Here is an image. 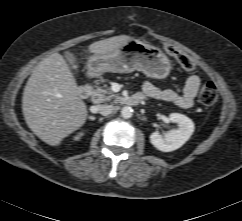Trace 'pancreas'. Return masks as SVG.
<instances>
[{
	"mask_svg": "<svg viewBox=\"0 0 242 221\" xmlns=\"http://www.w3.org/2000/svg\"><path fill=\"white\" fill-rule=\"evenodd\" d=\"M104 80L101 79L100 82L96 83L95 88L92 89L91 95H92V102L93 103H104V102H112V103H118L121 101V97L111 91L107 85H104L103 87L99 86V83H103Z\"/></svg>",
	"mask_w": 242,
	"mask_h": 221,
	"instance_id": "cf45deb5",
	"label": "pancreas"
}]
</instances>
